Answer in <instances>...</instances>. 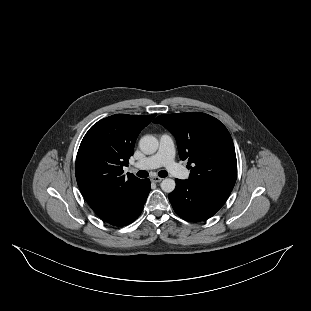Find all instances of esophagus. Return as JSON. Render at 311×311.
I'll return each instance as SVG.
<instances>
[{
	"label": "esophagus",
	"mask_w": 311,
	"mask_h": 311,
	"mask_svg": "<svg viewBox=\"0 0 311 311\" xmlns=\"http://www.w3.org/2000/svg\"><path fill=\"white\" fill-rule=\"evenodd\" d=\"M162 180H163V178L158 177V176H154L151 178V181H153L155 183L161 182Z\"/></svg>",
	"instance_id": "esophagus-1"
}]
</instances>
